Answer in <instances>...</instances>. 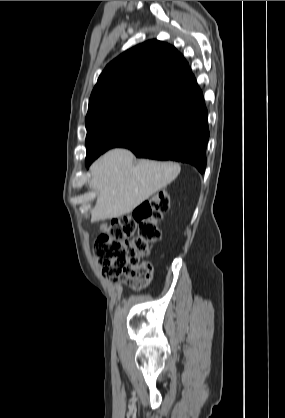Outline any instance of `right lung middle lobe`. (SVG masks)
<instances>
[{
	"label": "right lung middle lobe",
	"instance_id": "right-lung-middle-lobe-1",
	"mask_svg": "<svg viewBox=\"0 0 285 418\" xmlns=\"http://www.w3.org/2000/svg\"><path fill=\"white\" fill-rule=\"evenodd\" d=\"M169 107L147 101H125L104 106L86 116V162L120 147L159 121Z\"/></svg>",
	"mask_w": 285,
	"mask_h": 418
}]
</instances>
